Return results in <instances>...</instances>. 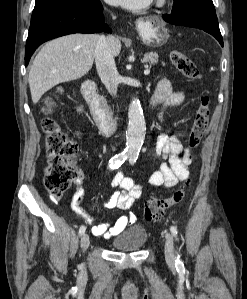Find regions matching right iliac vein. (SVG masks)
I'll return each mask as SVG.
<instances>
[{
    "label": "right iliac vein",
    "instance_id": "right-iliac-vein-1",
    "mask_svg": "<svg viewBox=\"0 0 247 299\" xmlns=\"http://www.w3.org/2000/svg\"><path fill=\"white\" fill-rule=\"evenodd\" d=\"M90 244V239H89V235L88 234H83V236L81 237V241H80V245L82 250L85 252L87 250V248L89 247Z\"/></svg>",
    "mask_w": 247,
    "mask_h": 299
}]
</instances>
